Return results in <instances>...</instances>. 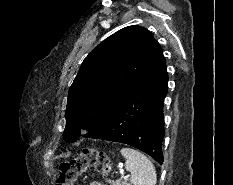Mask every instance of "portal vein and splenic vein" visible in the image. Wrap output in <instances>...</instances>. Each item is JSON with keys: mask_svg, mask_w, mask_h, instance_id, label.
<instances>
[{"mask_svg": "<svg viewBox=\"0 0 233 185\" xmlns=\"http://www.w3.org/2000/svg\"><path fill=\"white\" fill-rule=\"evenodd\" d=\"M128 177H129V175L124 176L125 179L128 178Z\"/></svg>", "mask_w": 233, "mask_h": 185, "instance_id": "18ae733b", "label": "portal vein and splenic vein"}]
</instances>
